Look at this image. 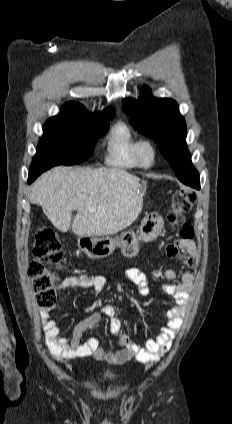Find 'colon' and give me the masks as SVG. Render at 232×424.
Here are the masks:
<instances>
[{
  "label": "colon",
  "mask_w": 232,
  "mask_h": 424,
  "mask_svg": "<svg viewBox=\"0 0 232 424\" xmlns=\"http://www.w3.org/2000/svg\"><path fill=\"white\" fill-rule=\"evenodd\" d=\"M196 192L179 188L172 195L171 207L168 213V222L171 227H181V237L190 240L194 230L190 221L185 217L196 203ZM66 265L62 245L53 231L40 227L35 234L32 258L27 270L33 280L36 301L40 308L51 309L57 297V276L50 270L51 266L63 269Z\"/></svg>",
  "instance_id": "obj_1"
}]
</instances>
